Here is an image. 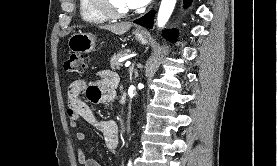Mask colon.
Returning a JSON list of instances; mask_svg holds the SVG:
<instances>
[{"label":"colon","instance_id":"1","mask_svg":"<svg viewBox=\"0 0 277 166\" xmlns=\"http://www.w3.org/2000/svg\"><path fill=\"white\" fill-rule=\"evenodd\" d=\"M64 69L69 73H83L85 70L84 57L77 53L71 54L64 63Z\"/></svg>","mask_w":277,"mask_h":166}]
</instances>
